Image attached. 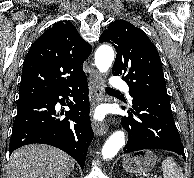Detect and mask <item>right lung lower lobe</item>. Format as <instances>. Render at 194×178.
I'll use <instances>...</instances> for the list:
<instances>
[{"label": "right lung lower lobe", "mask_w": 194, "mask_h": 178, "mask_svg": "<svg viewBox=\"0 0 194 178\" xmlns=\"http://www.w3.org/2000/svg\"><path fill=\"white\" fill-rule=\"evenodd\" d=\"M62 95L73 97V102L68 104L70 110L65 112L66 118L60 120L55 117V105L63 104L64 99L59 98ZM88 115L87 80L71 89L20 100L9 144L10 154L27 144H49L71 155L83 169L93 139Z\"/></svg>", "instance_id": "right-lung-lower-lobe-1"}]
</instances>
